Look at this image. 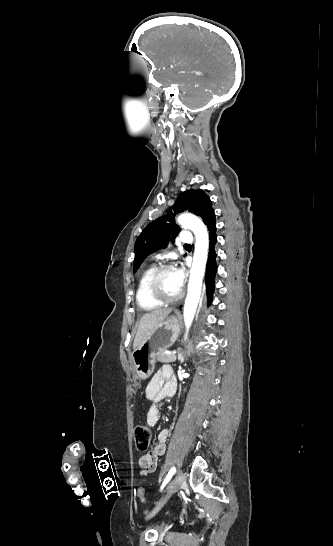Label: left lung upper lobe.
<instances>
[{"label":"left lung upper lobe","instance_id":"5c2ea615","mask_svg":"<svg viewBox=\"0 0 333 546\" xmlns=\"http://www.w3.org/2000/svg\"><path fill=\"white\" fill-rule=\"evenodd\" d=\"M173 209L174 213L170 210L166 215L152 221L138 236L135 242L134 273L150 253L163 248L168 243L169 234L173 236V239L178 234L180 229L175 224L174 215L189 211L201 217L205 225L215 215L210 198L201 189L183 192L176 200Z\"/></svg>","mask_w":333,"mask_h":546}]
</instances>
